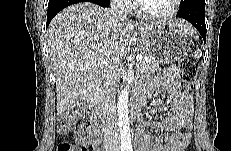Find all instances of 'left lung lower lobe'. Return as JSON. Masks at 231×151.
I'll use <instances>...</instances> for the list:
<instances>
[{"label": "left lung lower lobe", "instance_id": "0a47b994", "mask_svg": "<svg viewBox=\"0 0 231 151\" xmlns=\"http://www.w3.org/2000/svg\"><path fill=\"white\" fill-rule=\"evenodd\" d=\"M176 17L186 19L193 24L206 42L205 0H188L180 7Z\"/></svg>", "mask_w": 231, "mask_h": 151}]
</instances>
